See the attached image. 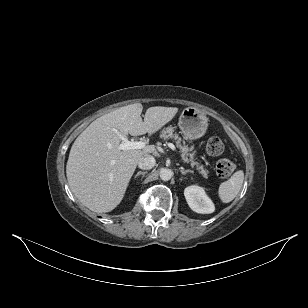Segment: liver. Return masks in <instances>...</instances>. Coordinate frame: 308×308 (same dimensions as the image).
I'll use <instances>...</instances> for the list:
<instances>
[{
    "instance_id": "liver-1",
    "label": "liver",
    "mask_w": 308,
    "mask_h": 308,
    "mask_svg": "<svg viewBox=\"0 0 308 308\" xmlns=\"http://www.w3.org/2000/svg\"><path fill=\"white\" fill-rule=\"evenodd\" d=\"M140 103L120 107L94 120L74 141L66 165L69 187L94 212H110L122 201L139 159L154 145L119 150L122 136L154 134L171 121L178 108L155 106L141 118Z\"/></svg>"
}]
</instances>
